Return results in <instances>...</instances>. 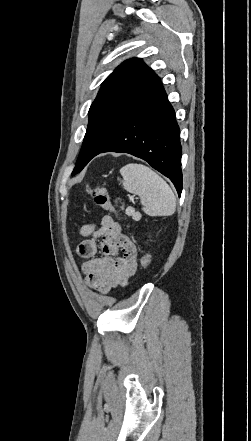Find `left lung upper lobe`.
<instances>
[{
	"label": "left lung upper lobe",
	"instance_id": "left-lung-upper-lobe-1",
	"mask_svg": "<svg viewBox=\"0 0 251 441\" xmlns=\"http://www.w3.org/2000/svg\"><path fill=\"white\" fill-rule=\"evenodd\" d=\"M159 81V77L141 59L124 61L102 83L96 99L89 109L90 125L106 115H126L136 101ZM87 128V129H88ZM84 142L72 175L83 169Z\"/></svg>",
	"mask_w": 251,
	"mask_h": 441
}]
</instances>
